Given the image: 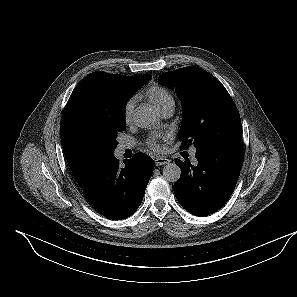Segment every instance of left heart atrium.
<instances>
[{"label": "left heart atrium", "instance_id": "1", "mask_svg": "<svg viewBox=\"0 0 297 297\" xmlns=\"http://www.w3.org/2000/svg\"><path fill=\"white\" fill-rule=\"evenodd\" d=\"M163 135H154L148 139V146L154 151L160 150V140L163 139Z\"/></svg>", "mask_w": 297, "mask_h": 297}]
</instances>
